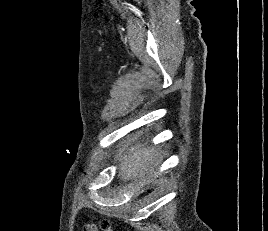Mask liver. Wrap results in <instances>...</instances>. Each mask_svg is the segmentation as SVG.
<instances>
[{
  "label": "liver",
  "instance_id": "6515ba94",
  "mask_svg": "<svg viewBox=\"0 0 268 231\" xmlns=\"http://www.w3.org/2000/svg\"><path fill=\"white\" fill-rule=\"evenodd\" d=\"M115 159L119 163L118 177L123 181L150 179L161 162L159 151L146 143L129 147L123 142Z\"/></svg>",
  "mask_w": 268,
  "mask_h": 231
}]
</instances>
